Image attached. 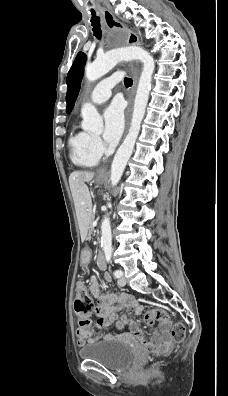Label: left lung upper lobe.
Instances as JSON below:
<instances>
[{"instance_id": "1", "label": "left lung upper lobe", "mask_w": 228, "mask_h": 396, "mask_svg": "<svg viewBox=\"0 0 228 396\" xmlns=\"http://www.w3.org/2000/svg\"><path fill=\"white\" fill-rule=\"evenodd\" d=\"M87 56L83 52H79L75 58L73 65L71 66L68 75H67V95L66 102L67 108L66 112L70 113L74 107V103L77 99L80 83L83 78L84 73V65L86 63Z\"/></svg>"}]
</instances>
